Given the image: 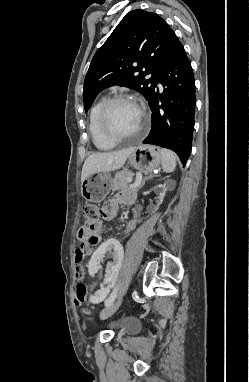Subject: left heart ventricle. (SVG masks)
<instances>
[{"instance_id": "obj_1", "label": "left heart ventricle", "mask_w": 249, "mask_h": 382, "mask_svg": "<svg viewBox=\"0 0 249 382\" xmlns=\"http://www.w3.org/2000/svg\"><path fill=\"white\" fill-rule=\"evenodd\" d=\"M141 120L139 108L132 102H120L112 106L108 123L118 135H130L137 131Z\"/></svg>"}]
</instances>
